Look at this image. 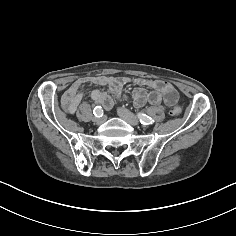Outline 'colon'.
Listing matches in <instances>:
<instances>
[{"mask_svg":"<svg viewBox=\"0 0 236 236\" xmlns=\"http://www.w3.org/2000/svg\"><path fill=\"white\" fill-rule=\"evenodd\" d=\"M180 113H181V110H180V108L177 107V106L173 107V108L170 110V115L175 116V117L179 116Z\"/></svg>","mask_w":236,"mask_h":236,"instance_id":"1","label":"colon"}]
</instances>
